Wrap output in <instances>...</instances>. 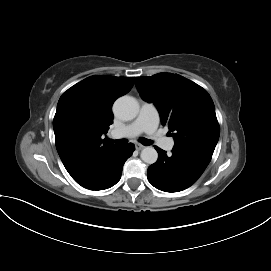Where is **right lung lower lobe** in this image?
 <instances>
[{"label": "right lung lower lobe", "instance_id": "obj_1", "mask_svg": "<svg viewBox=\"0 0 271 271\" xmlns=\"http://www.w3.org/2000/svg\"><path fill=\"white\" fill-rule=\"evenodd\" d=\"M134 150L132 143L115 147L96 166L75 181L89 190L112 187L120 180L123 164Z\"/></svg>", "mask_w": 271, "mask_h": 271}]
</instances>
